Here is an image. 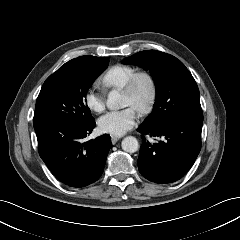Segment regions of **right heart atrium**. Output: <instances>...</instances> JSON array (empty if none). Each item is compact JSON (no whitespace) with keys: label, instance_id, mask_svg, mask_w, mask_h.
I'll return each mask as SVG.
<instances>
[{"label":"right heart atrium","instance_id":"obj_1","mask_svg":"<svg viewBox=\"0 0 240 240\" xmlns=\"http://www.w3.org/2000/svg\"><path fill=\"white\" fill-rule=\"evenodd\" d=\"M84 101L86 106L94 112H101L105 106L104 94L95 89H89L86 92Z\"/></svg>","mask_w":240,"mask_h":240}]
</instances>
